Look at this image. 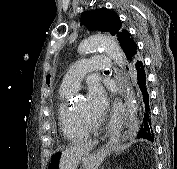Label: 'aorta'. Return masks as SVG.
<instances>
[{
    "label": "aorta",
    "mask_w": 177,
    "mask_h": 169,
    "mask_svg": "<svg viewBox=\"0 0 177 169\" xmlns=\"http://www.w3.org/2000/svg\"><path fill=\"white\" fill-rule=\"evenodd\" d=\"M98 48H103L106 54L113 59L121 69L124 68V53L118 43L108 36L94 35L89 37L81 44L80 51L81 53H92ZM125 101L129 123L133 124L136 120L137 107L130 87L126 89Z\"/></svg>",
    "instance_id": "1"
}]
</instances>
